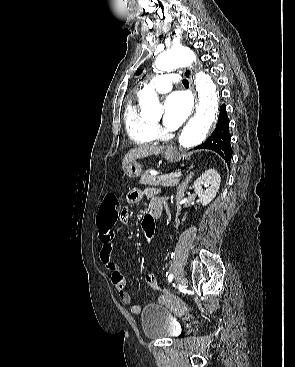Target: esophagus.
Here are the masks:
<instances>
[{"label":"esophagus","instance_id":"1","mask_svg":"<svg viewBox=\"0 0 295 367\" xmlns=\"http://www.w3.org/2000/svg\"><path fill=\"white\" fill-rule=\"evenodd\" d=\"M184 76L188 79L189 81V86L191 91L193 92L194 98H195V103L197 102V96H196V92H195V88H194V84H193V78H192V70L190 68H186L183 71ZM173 148L169 147L167 149V151H172Z\"/></svg>","mask_w":295,"mask_h":367}]
</instances>
